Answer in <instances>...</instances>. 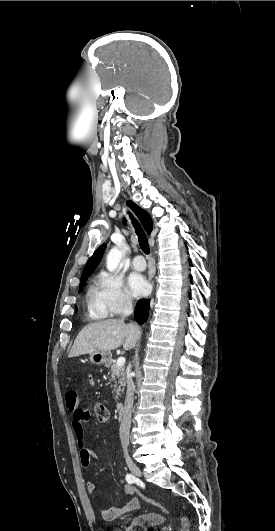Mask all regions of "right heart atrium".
Returning <instances> with one entry per match:
<instances>
[{
	"instance_id": "d8ad5b80",
	"label": "right heart atrium",
	"mask_w": 275,
	"mask_h": 531,
	"mask_svg": "<svg viewBox=\"0 0 275 531\" xmlns=\"http://www.w3.org/2000/svg\"><path fill=\"white\" fill-rule=\"evenodd\" d=\"M132 299L123 287L120 276L101 272L97 275L90 296L92 312L100 317H115L126 313Z\"/></svg>"
}]
</instances>
